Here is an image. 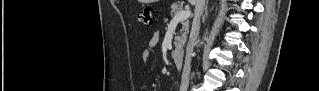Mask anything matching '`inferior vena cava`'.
Here are the masks:
<instances>
[{
  "mask_svg": "<svg viewBox=\"0 0 319 91\" xmlns=\"http://www.w3.org/2000/svg\"><path fill=\"white\" fill-rule=\"evenodd\" d=\"M206 0H197L195 4V10H194V19L192 23V29L190 34V40L186 48V57H185V64L184 69L182 72L181 77V85H180V91H187L189 87V75L191 70V57L193 55V49L196 44V40L199 34L200 30V18L204 11Z\"/></svg>",
  "mask_w": 319,
  "mask_h": 91,
  "instance_id": "602c4592",
  "label": "inferior vena cava"
}]
</instances>
